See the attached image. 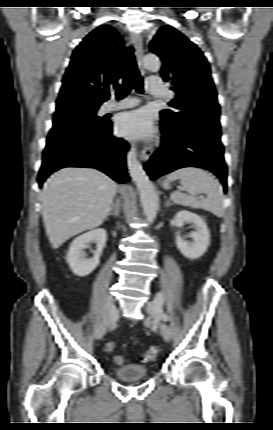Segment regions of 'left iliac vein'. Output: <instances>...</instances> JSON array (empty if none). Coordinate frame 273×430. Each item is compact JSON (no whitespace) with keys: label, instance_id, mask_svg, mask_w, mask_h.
Listing matches in <instances>:
<instances>
[{"label":"left iliac vein","instance_id":"left-iliac-vein-1","mask_svg":"<svg viewBox=\"0 0 273 430\" xmlns=\"http://www.w3.org/2000/svg\"><path fill=\"white\" fill-rule=\"evenodd\" d=\"M146 312L152 320V323L160 329L161 335L165 341L169 342L171 340V332L168 326L161 322V317L159 315V308L157 307L155 301H148L145 306Z\"/></svg>","mask_w":273,"mask_h":430}]
</instances>
